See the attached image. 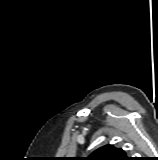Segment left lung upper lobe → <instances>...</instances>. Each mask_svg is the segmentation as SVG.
<instances>
[{
  "instance_id": "left-lung-upper-lobe-1",
  "label": "left lung upper lobe",
  "mask_w": 158,
  "mask_h": 160,
  "mask_svg": "<svg viewBox=\"0 0 158 160\" xmlns=\"http://www.w3.org/2000/svg\"><path fill=\"white\" fill-rule=\"evenodd\" d=\"M84 160H132V158L127 157L124 150L108 144L95 150Z\"/></svg>"
}]
</instances>
